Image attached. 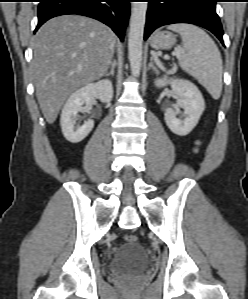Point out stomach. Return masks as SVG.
I'll use <instances>...</instances> for the list:
<instances>
[{
    "label": "stomach",
    "instance_id": "obj_1",
    "mask_svg": "<svg viewBox=\"0 0 248 299\" xmlns=\"http://www.w3.org/2000/svg\"><path fill=\"white\" fill-rule=\"evenodd\" d=\"M176 43V36L168 31H158L151 38V47L156 50L170 49Z\"/></svg>",
    "mask_w": 248,
    "mask_h": 299
}]
</instances>
